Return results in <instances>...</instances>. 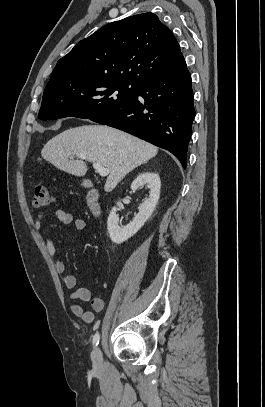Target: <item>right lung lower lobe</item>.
<instances>
[{"instance_id": "right-lung-lower-lobe-1", "label": "right lung lower lobe", "mask_w": 265, "mask_h": 407, "mask_svg": "<svg viewBox=\"0 0 265 407\" xmlns=\"http://www.w3.org/2000/svg\"><path fill=\"white\" fill-rule=\"evenodd\" d=\"M191 74L180 56L168 70L138 86L134 100L90 120L133 134L187 163L195 118Z\"/></svg>"}]
</instances>
